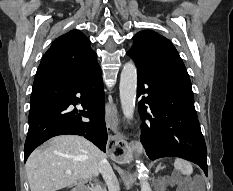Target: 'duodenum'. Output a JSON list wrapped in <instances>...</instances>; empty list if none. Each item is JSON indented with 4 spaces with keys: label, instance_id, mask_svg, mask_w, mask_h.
Instances as JSON below:
<instances>
[{
    "label": "duodenum",
    "instance_id": "1",
    "mask_svg": "<svg viewBox=\"0 0 233 191\" xmlns=\"http://www.w3.org/2000/svg\"><path fill=\"white\" fill-rule=\"evenodd\" d=\"M72 191H91V188L85 186H79Z\"/></svg>",
    "mask_w": 233,
    "mask_h": 191
}]
</instances>
